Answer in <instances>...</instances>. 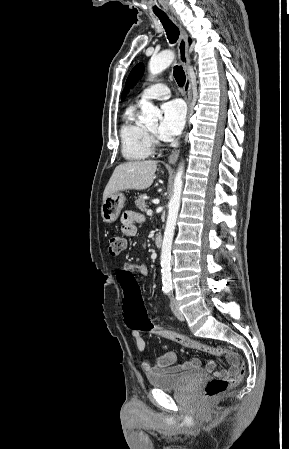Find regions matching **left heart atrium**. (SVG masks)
<instances>
[{
    "label": "left heart atrium",
    "instance_id": "left-heart-atrium-1",
    "mask_svg": "<svg viewBox=\"0 0 289 449\" xmlns=\"http://www.w3.org/2000/svg\"><path fill=\"white\" fill-rule=\"evenodd\" d=\"M161 112L159 136L164 141H172L184 127L185 107L181 101L171 100L162 104Z\"/></svg>",
    "mask_w": 289,
    "mask_h": 449
}]
</instances>
